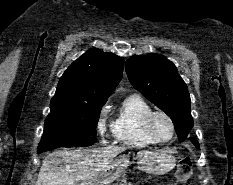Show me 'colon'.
I'll return each mask as SVG.
<instances>
[{"label": "colon", "mask_w": 233, "mask_h": 185, "mask_svg": "<svg viewBox=\"0 0 233 185\" xmlns=\"http://www.w3.org/2000/svg\"><path fill=\"white\" fill-rule=\"evenodd\" d=\"M193 172L192 161L189 157H184L179 160L175 172V177L180 185L186 183V181L191 177Z\"/></svg>", "instance_id": "1"}]
</instances>
